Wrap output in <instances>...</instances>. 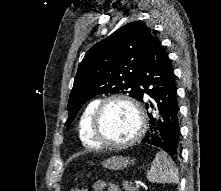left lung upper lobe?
<instances>
[{"mask_svg":"<svg viewBox=\"0 0 221 191\" xmlns=\"http://www.w3.org/2000/svg\"><path fill=\"white\" fill-rule=\"evenodd\" d=\"M153 40L151 29L135 21L95 44L78 66L69 96L66 125L96 95L123 93L137 99L138 77Z\"/></svg>","mask_w":221,"mask_h":191,"instance_id":"left-lung-upper-lobe-1","label":"left lung upper lobe"}]
</instances>
